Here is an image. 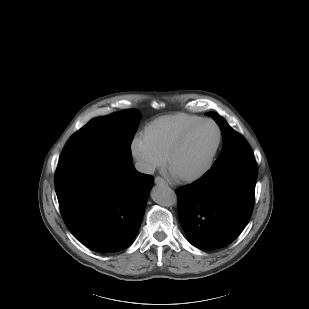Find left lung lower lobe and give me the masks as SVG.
Here are the masks:
<instances>
[{
	"label": "left lung lower lobe",
	"instance_id": "1",
	"mask_svg": "<svg viewBox=\"0 0 309 309\" xmlns=\"http://www.w3.org/2000/svg\"><path fill=\"white\" fill-rule=\"evenodd\" d=\"M253 153L236 156L177 189L178 214L188 241L200 249L230 244L247 225L254 204Z\"/></svg>",
	"mask_w": 309,
	"mask_h": 309
}]
</instances>
